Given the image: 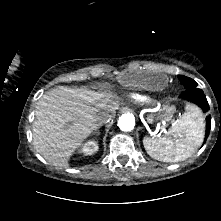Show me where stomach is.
I'll return each instance as SVG.
<instances>
[{
	"label": "stomach",
	"mask_w": 221,
	"mask_h": 221,
	"mask_svg": "<svg viewBox=\"0 0 221 221\" xmlns=\"http://www.w3.org/2000/svg\"><path fill=\"white\" fill-rule=\"evenodd\" d=\"M118 80L125 86L135 85L148 90H161L167 84V79L162 74L152 75L136 70L121 71Z\"/></svg>",
	"instance_id": "obj_1"
}]
</instances>
